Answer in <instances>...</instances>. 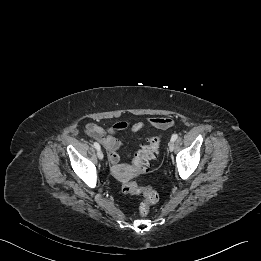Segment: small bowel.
Wrapping results in <instances>:
<instances>
[{
	"instance_id": "obj_1",
	"label": "small bowel",
	"mask_w": 261,
	"mask_h": 261,
	"mask_svg": "<svg viewBox=\"0 0 261 261\" xmlns=\"http://www.w3.org/2000/svg\"><path fill=\"white\" fill-rule=\"evenodd\" d=\"M173 124L174 120L171 117L147 118L146 120L134 123L120 121L106 128L90 122L86 125L85 131L88 136L97 140L108 150L110 162L116 164L119 161L118 151L122 146L121 141L116 137L119 132L126 129H130L132 132H138L146 125H150L157 129H167Z\"/></svg>"
}]
</instances>
